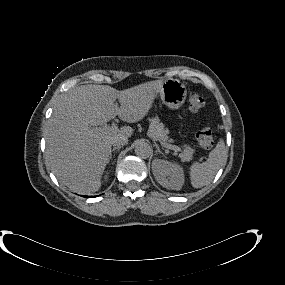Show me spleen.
<instances>
[{"instance_id": "spleen-1", "label": "spleen", "mask_w": 285, "mask_h": 285, "mask_svg": "<svg viewBox=\"0 0 285 285\" xmlns=\"http://www.w3.org/2000/svg\"><path fill=\"white\" fill-rule=\"evenodd\" d=\"M225 155V142L223 139H220L216 147L209 153L205 162H195L191 165L189 172L192 186L201 188L208 185L225 160Z\"/></svg>"}]
</instances>
